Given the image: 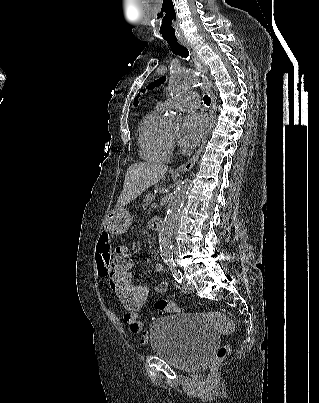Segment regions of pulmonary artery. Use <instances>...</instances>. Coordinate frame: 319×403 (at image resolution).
<instances>
[{"instance_id": "e3ab8cb5", "label": "pulmonary artery", "mask_w": 319, "mask_h": 403, "mask_svg": "<svg viewBox=\"0 0 319 403\" xmlns=\"http://www.w3.org/2000/svg\"><path fill=\"white\" fill-rule=\"evenodd\" d=\"M175 104L182 108H194L199 105V97L196 92L186 91L175 97ZM158 106L165 108L167 104L165 102H159Z\"/></svg>"}]
</instances>
